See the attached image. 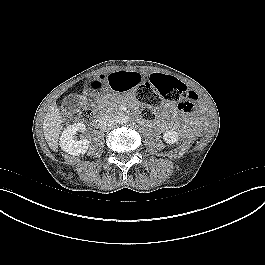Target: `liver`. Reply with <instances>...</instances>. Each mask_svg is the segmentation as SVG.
I'll return each instance as SVG.
<instances>
[{"label": "liver", "instance_id": "liver-1", "mask_svg": "<svg viewBox=\"0 0 265 265\" xmlns=\"http://www.w3.org/2000/svg\"><path fill=\"white\" fill-rule=\"evenodd\" d=\"M62 116L55 104L50 106L43 123L44 137L52 150L58 147V140L62 130Z\"/></svg>", "mask_w": 265, "mask_h": 265}]
</instances>
